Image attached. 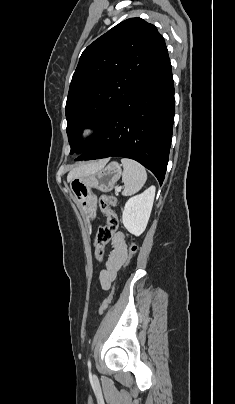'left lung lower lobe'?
<instances>
[{
    "label": "left lung lower lobe",
    "instance_id": "1",
    "mask_svg": "<svg viewBox=\"0 0 235 404\" xmlns=\"http://www.w3.org/2000/svg\"><path fill=\"white\" fill-rule=\"evenodd\" d=\"M174 84L168 52L134 86L93 144L78 157L131 158L165 177L174 122Z\"/></svg>",
    "mask_w": 235,
    "mask_h": 404
}]
</instances>
